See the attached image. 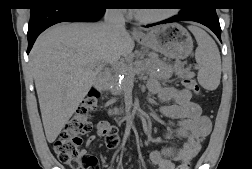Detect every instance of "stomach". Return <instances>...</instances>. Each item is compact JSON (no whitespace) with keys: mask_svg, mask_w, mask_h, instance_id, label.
Returning <instances> with one entry per match:
<instances>
[{"mask_svg":"<svg viewBox=\"0 0 252 169\" xmlns=\"http://www.w3.org/2000/svg\"><path fill=\"white\" fill-rule=\"evenodd\" d=\"M135 38L142 46L172 59H184L193 50L191 35L179 24L161 25Z\"/></svg>","mask_w":252,"mask_h":169,"instance_id":"1","label":"stomach"}]
</instances>
